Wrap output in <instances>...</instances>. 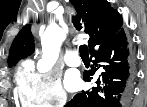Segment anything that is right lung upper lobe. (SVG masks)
Segmentation results:
<instances>
[{"label": "right lung upper lobe", "mask_w": 147, "mask_h": 107, "mask_svg": "<svg viewBox=\"0 0 147 107\" xmlns=\"http://www.w3.org/2000/svg\"><path fill=\"white\" fill-rule=\"evenodd\" d=\"M78 18L84 21L85 32L89 34V50L96 48L113 37L122 26V18L107 0H71ZM34 38L31 26L25 25L15 37L8 57L10 67L32 54Z\"/></svg>", "instance_id": "1"}]
</instances>
